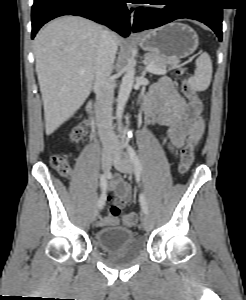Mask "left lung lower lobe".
Returning a JSON list of instances; mask_svg holds the SVG:
<instances>
[{
	"mask_svg": "<svg viewBox=\"0 0 246 300\" xmlns=\"http://www.w3.org/2000/svg\"><path fill=\"white\" fill-rule=\"evenodd\" d=\"M165 2L168 3L163 9L137 8L133 31L156 28L178 18H189L206 24L216 33L219 40H222L223 8L219 0H165Z\"/></svg>",
	"mask_w": 246,
	"mask_h": 300,
	"instance_id": "obj_1",
	"label": "left lung lower lobe"
}]
</instances>
